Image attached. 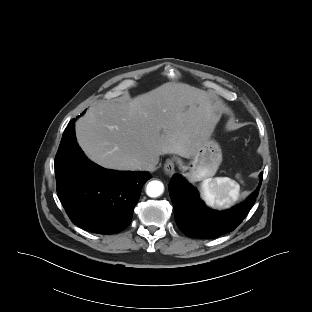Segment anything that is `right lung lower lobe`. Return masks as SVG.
Returning <instances> with one entry per match:
<instances>
[{"label":"right lung lower lobe","mask_w":312,"mask_h":312,"mask_svg":"<svg viewBox=\"0 0 312 312\" xmlns=\"http://www.w3.org/2000/svg\"><path fill=\"white\" fill-rule=\"evenodd\" d=\"M58 197L71 221L99 234H115L131 222L145 182L146 171L119 172L100 167L85 157L68 124L56 154Z\"/></svg>","instance_id":"98d812e1"}]
</instances>
